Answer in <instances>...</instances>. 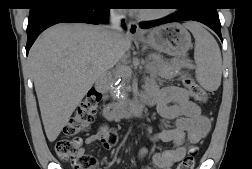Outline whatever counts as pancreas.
Returning a JSON list of instances; mask_svg holds the SVG:
<instances>
[{
	"label": "pancreas",
	"mask_w": 252,
	"mask_h": 169,
	"mask_svg": "<svg viewBox=\"0 0 252 169\" xmlns=\"http://www.w3.org/2000/svg\"><path fill=\"white\" fill-rule=\"evenodd\" d=\"M186 67H189L186 61H180L176 59L163 60L159 55H153L150 60L146 62V69L149 73L164 79H171L179 75L180 70ZM115 74L122 75L125 77V79L130 77L129 75H124V73L120 72L119 69ZM128 91L129 89L126 88L121 92L124 95V98H118V103H124L128 101Z\"/></svg>",
	"instance_id": "cf45deb5"
}]
</instances>
